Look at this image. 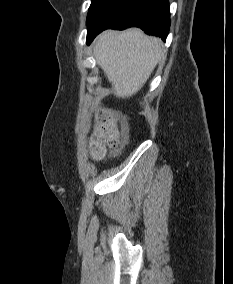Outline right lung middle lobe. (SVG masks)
Here are the masks:
<instances>
[{
	"label": "right lung middle lobe",
	"instance_id": "obj_1",
	"mask_svg": "<svg viewBox=\"0 0 233 284\" xmlns=\"http://www.w3.org/2000/svg\"><path fill=\"white\" fill-rule=\"evenodd\" d=\"M112 0H92V3L89 8V12L87 15V27L97 18V16L105 9V7Z\"/></svg>",
	"mask_w": 233,
	"mask_h": 284
}]
</instances>
